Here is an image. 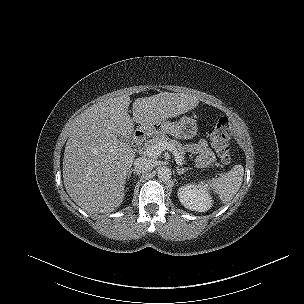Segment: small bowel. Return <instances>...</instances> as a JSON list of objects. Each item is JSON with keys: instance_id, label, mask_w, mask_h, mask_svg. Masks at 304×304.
Listing matches in <instances>:
<instances>
[{"instance_id": "obj_1", "label": "small bowel", "mask_w": 304, "mask_h": 304, "mask_svg": "<svg viewBox=\"0 0 304 304\" xmlns=\"http://www.w3.org/2000/svg\"><path fill=\"white\" fill-rule=\"evenodd\" d=\"M189 151L195 154V161L200 166L210 164L213 161V154L204 141L191 145Z\"/></svg>"}]
</instances>
